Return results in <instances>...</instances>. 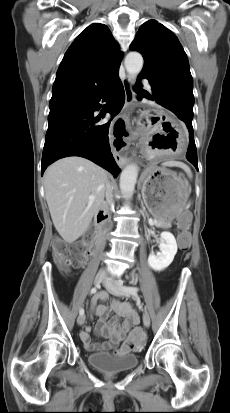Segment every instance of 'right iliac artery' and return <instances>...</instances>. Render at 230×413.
<instances>
[{
    "instance_id": "right-iliac-artery-1",
    "label": "right iliac artery",
    "mask_w": 230,
    "mask_h": 413,
    "mask_svg": "<svg viewBox=\"0 0 230 413\" xmlns=\"http://www.w3.org/2000/svg\"><path fill=\"white\" fill-rule=\"evenodd\" d=\"M98 287H99L98 285L95 286V287H93V288L90 290V293H91V294H95V293L97 292ZM79 313H80V315H84V309L81 308L80 311H79Z\"/></svg>"
}]
</instances>
